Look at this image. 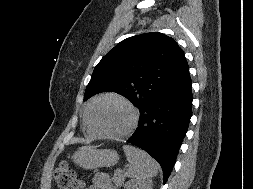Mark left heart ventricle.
<instances>
[{
	"label": "left heart ventricle",
	"instance_id": "b2bd125f",
	"mask_svg": "<svg viewBox=\"0 0 253 189\" xmlns=\"http://www.w3.org/2000/svg\"><path fill=\"white\" fill-rule=\"evenodd\" d=\"M96 127L106 133L124 131L132 119L131 111L122 102L108 98L98 102L93 109Z\"/></svg>",
	"mask_w": 253,
	"mask_h": 189
}]
</instances>
